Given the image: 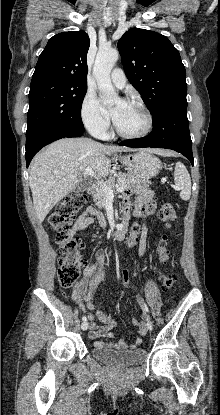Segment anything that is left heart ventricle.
Masks as SVG:
<instances>
[{
  "mask_svg": "<svg viewBox=\"0 0 220 415\" xmlns=\"http://www.w3.org/2000/svg\"><path fill=\"white\" fill-rule=\"evenodd\" d=\"M121 110L116 124L120 130L126 133H139L143 131L147 125V119L144 112L137 106L119 102L114 105L113 110Z\"/></svg>",
  "mask_w": 220,
  "mask_h": 415,
  "instance_id": "b2bd125f",
  "label": "left heart ventricle"
}]
</instances>
